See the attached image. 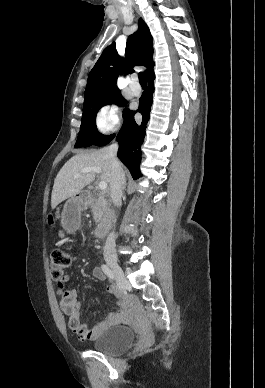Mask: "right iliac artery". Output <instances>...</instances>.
<instances>
[{"mask_svg":"<svg viewBox=\"0 0 265 388\" xmlns=\"http://www.w3.org/2000/svg\"><path fill=\"white\" fill-rule=\"evenodd\" d=\"M101 268L107 277H109L111 280L115 279L114 273L107 265L103 264Z\"/></svg>","mask_w":265,"mask_h":388,"instance_id":"1","label":"right iliac artery"}]
</instances>
